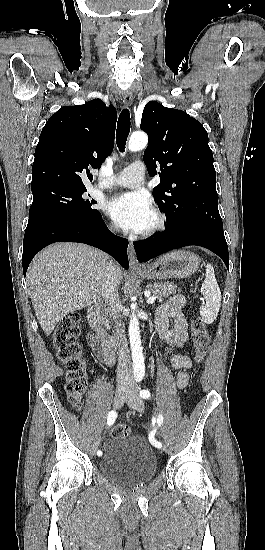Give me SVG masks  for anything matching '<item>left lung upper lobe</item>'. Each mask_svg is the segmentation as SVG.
Listing matches in <instances>:
<instances>
[{
  "label": "left lung upper lobe",
  "instance_id": "5c2ea615",
  "mask_svg": "<svg viewBox=\"0 0 265 550\" xmlns=\"http://www.w3.org/2000/svg\"><path fill=\"white\" fill-rule=\"evenodd\" d=\"M140 128L149 137L143 156L148 173L160 175L153 196L166 215V227L199 221L223 228L213 153L202 124L182 110L150 101Z\"/></svg>",
  "mask_w": 265,
  "mask_h": 550
}]
</instances>
